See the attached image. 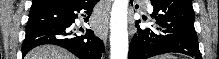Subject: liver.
I'll list each match as a JSON object with an SVG mask.
<instances>
[{"label":"liver","instance_id":"obj_1","mask_svg":"<svg viewBox=\"0 0 219 59\" xmlns=\"http://www.w3.org/2000/svg\"><path fill=\"white\" fill-rule=\"evenodd\" d=\"M25 59H76L67 50L53 45H43L31 50Z\"/></svg>","mask_w":219,"mask_h":59}]
</instances>
